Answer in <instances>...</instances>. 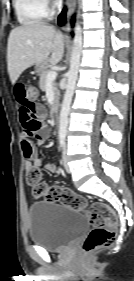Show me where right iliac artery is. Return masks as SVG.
Wrapping results in <instances>:
<instances>
[{"mask_svg":"<svg viewBox=\"0 0 134 281\" xmlns=\"http://www.w3.org/2000/svg\"><path fill=\"white\" fill-rule=\"evenodd\" d=\"M59 143H60V147L63 148L65 145L64 138H60Z\"/></svg>","mask_w":134,"mask_h":281,"instance_id":"82829eb1","label":"right iliac artery"}]
</instances>
